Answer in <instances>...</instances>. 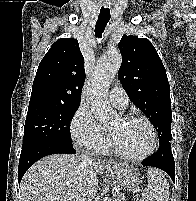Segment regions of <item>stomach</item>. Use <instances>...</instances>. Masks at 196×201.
Listing matches in <instances>:
<instances>
[{"instance_id":"obj_1","label":"stomach","mask_w":196,"mask_h":201,"mask_svg":"<svg viewBox=\"0 0 196 201\" xmlns=\"http://www.w3.org/2000/svg\"><path fill=\"white\" fill-rule=\"evenodd\" d=\"M111 173L116 182L128 191L135 190L140 183V175L134 168L122 166L112 170Z\"/></svg>"}]
</instances>
